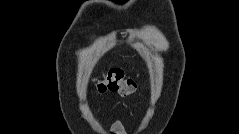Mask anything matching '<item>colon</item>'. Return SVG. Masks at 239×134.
<instances>
[{"instance_id": "5ec220e1", "label": "colon", "mask_w": 239, "mask_h": 134, "mask_svg": "<svg viewBox=\"0 0 239 134\" xmlns=\"http://www.w3.org/2000/svg\"><path fill=\"white\" fill-rule=\"evenodd\" d=\"M96 89L99 93L107 91L119 93L121 96H131L136 91V84L131 78L125 77L120 69H113L105 76L95 82Z\"/></svg>"}]
</instances>
